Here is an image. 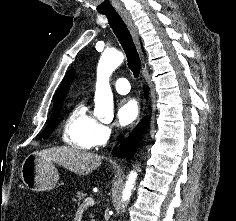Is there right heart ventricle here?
I'll return each instance as SVG.
<instances>
[{
	"instance_id": "obj_1",
	"label": "right heart ventricle",
	"mask_w": 236,
	"mask_h": 221,
	"mask_svg": "<svg viewBox=\"0 0 236 221\" xmlns=\"http://www.w3.org/2000/svg\"><path fill=\"white\" fill-rule=\"evenodd\" d=\"M99 122L89 111L86 101L77 103L69 112L63 124V141L80 150L95 146V134Z\"/></svg>"
}]
</instances>
